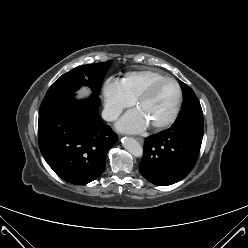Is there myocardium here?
Masks as SVG:
<instances>
[{
    "mask_svg": "<svg viewBox=\"0 0 248 248\" xmlns=\"http://www.w3.org/2000/svg\"><path fill=\"white\" fill-rule=\"evenodd\" d=\"M163 82H172L176 88H177V91H178V98H177V102H176V105H175V108L174 110L172 111V113L167 117L165 118L164 120L162 121H159V122H156V123H151V126L153 128H163V127H166L170 124H172L176 118L178 117L179 113H180V110H181V106H182V102H183V92H182V88L179 84V82L172 78V77H163L161 79H158V80H155L153 81L152 83H150L134 100V104L136 106H139V104L141 102H143L144 100H146L150 94L152 93V91L161 83Z\"/></svg>",
    "mask_w": 248,
    "mask_h": 248,
    "instance_id": "myocardium-1",
    "label": "myocardium"
}]
</instances>
